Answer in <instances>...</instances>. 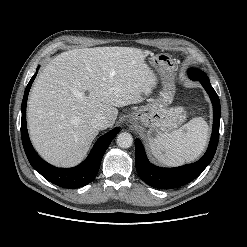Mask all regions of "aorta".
Returning <instances> with one entry per match:
<instances>
[{"label": "aorta", "instance_id": "aorta-1", "mask_svg": "<svg viewBox=\"0 0 247 247\" xmlns=\"http://www.w3.org/2000/svg\"><path fill=\"white\" fill-rule=\"evenodd\" d=\"M133 144V137L130 133L122 132L117 136V145L121 148H129Z\"/></svg>", "mask_w": 247, "mask_h": 247}]
</instances>
